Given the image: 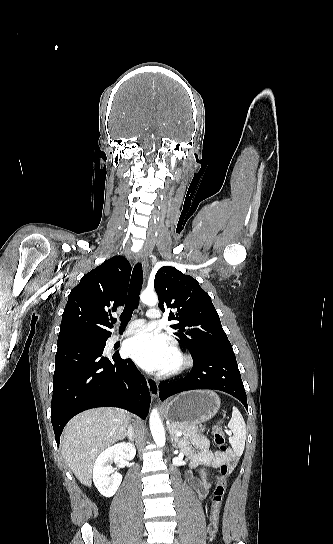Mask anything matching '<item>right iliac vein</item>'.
<instances>
[{
  "instance_id": "right-iliac-vein-1",
  "label": "right iliac vein",
  "mask_w": 333,
  "mask_h": 544,
  "mask_svg": "<svg viewBox=\"0 0 333 544\" xmlns=\"http://www.w3.org/2000/svg\"><path fill=\"white\" fill-rule=\"evenodd\" d=\"M142 544H147L146 542H143Z\"/></svg>"
}]
</instances>
